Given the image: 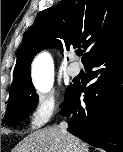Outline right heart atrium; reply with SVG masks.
Listing matches in <instances>:
<instances>
[{
    "instance_id": "d8ad5b80",
    "label": "right heart atrium",
    "mask_w": 123,
    "mask_h": 152,
    "mask_svg": "<svg viewBox=\"0 0 123 152\" xmlns=\"http://www.w3.org/2000/svg\"><path fill=\"white\" fill-rule=\"evenodd\" d=\"M59 106V98L53 94L38 96L28 112L31 128L37 129L45 125L58 112Z\"/></svg>"
}]
</instances>
